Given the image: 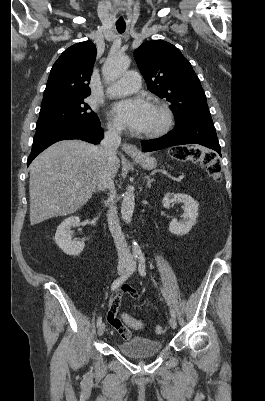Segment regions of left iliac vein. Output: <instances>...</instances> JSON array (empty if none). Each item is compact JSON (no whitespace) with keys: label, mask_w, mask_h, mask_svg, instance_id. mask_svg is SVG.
<instances>
[{"label":"left iliac vein","mask_w":265,"mask_h":401,"mask_svg":"<svg viewBox=\"0 0 265 401\" xmlns=\"http://www.w3.org/2000/svg\"><path fill=\"white\" fill-rule=\"evenodd\" d=\"M130 265H131V267L132 266L136 267V264L134 263V261ZM169 324H170L171 328L175 329L177 327L176 319L174 317H171L170 320H169Z\"/></svg>","instance_id":"obj_1"}]
</instances>
